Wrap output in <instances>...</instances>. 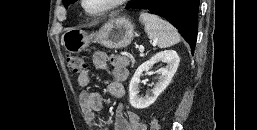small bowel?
I'll use <instances>...</instances> for the list:
<instances>
[{"label": "small bowel", "instance_id": "c3829d8e", "mask_svg": "<svg viewBox=\"0 0 257 130\" xmlns=\"http://www.w3.org/2000/svg\"><path fill=\"white\" fill-rule=\"evenodd\" d=\"M93 63L97 68H106L108 64L112 66V79L108 83V92L115 98H122L125 93L124 81L128 77L129 60L123 55L107 56L103 52H98L93 57ZM78 85L84 90L80 93V102L88 116L95 122L98 130H108L98 124L96 114L103 107V99L100 93L86 89L91 82V71L85 68L77 79ZM115 130H147L146 125L140 117L132 111H124L120 105L116 114Z\"/></svg>", "mask_w": 257, "mask_h": 130}]
</instances>
